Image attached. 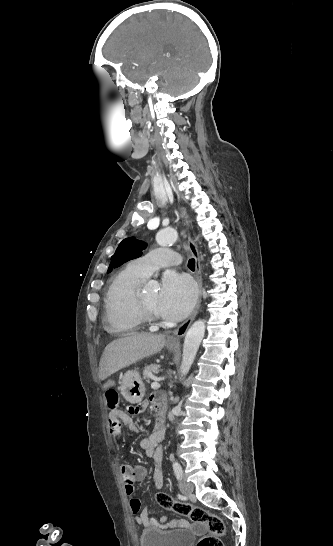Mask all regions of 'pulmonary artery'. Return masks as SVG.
I'll return each instance as SVG.
<instances>
[{"label":"pulmonary artery","mask_w":333,"mask_h":546,"mask_svg":"<svg viewBox=\"0 0 333 546\" xmlns=\"http://www.w3.org/2000/svg\"><path fill=\"white\" fill-rule=\"evenodd\" d=\"M181 263L180 255L172 250L158 248L150 251L144 256L136 258L131 262V266L136 269L143 277L148 278L154 271Z\"/></svg>","instance_id":"e3ab8cb5"}]
</instances>
